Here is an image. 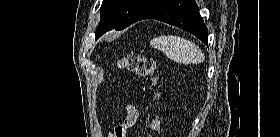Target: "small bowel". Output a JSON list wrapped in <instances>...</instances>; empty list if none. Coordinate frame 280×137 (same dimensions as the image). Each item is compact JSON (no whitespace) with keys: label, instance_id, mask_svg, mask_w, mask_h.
Masks as SVG:
<instances>
[{"label":"small bowel","instance_id":"c3829d8e","mask_svg":"<svg viewBox=\"0 0 280 137\" xmlns=\"http://www.w3.org/2000/svg\"><path fill=\"white\" fill-rule=\"evenodd\" d=\"M138 117H139L138 109L134 106H127L125 117L123 119L122 124L126 125L128 128H131L136 124Z\"/></svg>","mask_w":280,"mask_h":137}]
</instances>
